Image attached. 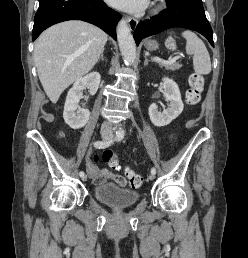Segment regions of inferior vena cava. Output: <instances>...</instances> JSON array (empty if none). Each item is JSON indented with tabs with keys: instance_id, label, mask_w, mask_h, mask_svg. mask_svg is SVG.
<instances>
[{
	"instance_id": "obj_1",
	"label": "inferior vena cava",
	"mask_w": 248,
	"mask_h": 258,
	"mask_svg": "<svg viewBox=\"0 0 248 258\" xmlns=\"http://www.w3.org/2000/svg\"><path fill=\"white\" fill-rule=\"evenodd\" d=\"M102 134H112V126L109 122L105 121L101 126Z\"/></svg>"
}]
</instances>
